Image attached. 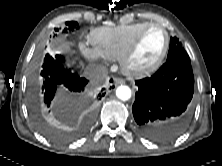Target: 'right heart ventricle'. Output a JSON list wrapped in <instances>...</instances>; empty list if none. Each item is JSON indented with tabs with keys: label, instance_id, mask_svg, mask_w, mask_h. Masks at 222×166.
<instances>
[{
	"label": "right heart ventricle",
	"instance_id": "obj_1",
	"mask_svg": "<svg viewBox=\"0 0 222 166\" xmlns=\"http://www.w3.org/2000/svg\"><path fill=\"white\" fill-rule=\"evenodd\" d=\"M149 22L94 29L89 40L94 50L102 57L119 60L135 35Z\"/></svg>",
	"mask_w": 222,
	"mask_h": 166
}]
</instances>
